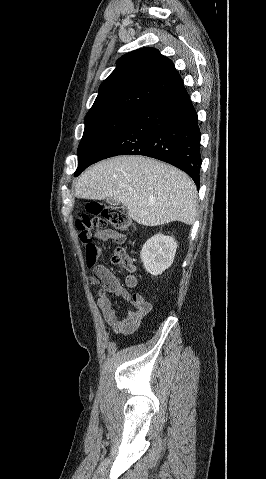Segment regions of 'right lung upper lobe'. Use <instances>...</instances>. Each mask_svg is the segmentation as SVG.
I'll use <instances>...</instances> for the list:
<instances>
[{
  "label": "right lung upper lobe",
  "instance_id": "cb5924a9",
  "mask_svg": "<svg viewBox=\"0 0 266 479\" xmlns=\"http://www.w3.org/2000/svg\"><path fill=\"white\" fill-rule=\"evenodd\" d=\"M180 85L183 80L174 64L157 49L134 50L118 59L86 117L121 109L142 110Z\"/></svg>",
  "mask_w": 266,
  "mask_h": 479
}]
</instances>
